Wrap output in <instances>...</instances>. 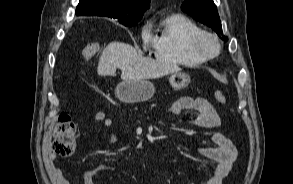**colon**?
<instances>
[{
    "label": "colon",
    "instance_id": "5ec220e1",
    "mask_svg": "<svg viewBox=\"0 0 293 184\" xmlns=\"http://www.w3.org/2000/svg\"><path fill=\"white\" fill-rule=\"evenodd\" d=\"M100 50V44L93 42L84 47L81 51L83 59H90L95 56ZM214 98L220 104H226L227 98L220 90L214 91ZM75 124L71 116L67 113H61L58 116L54 128V140L52 143V155L54 157L65 158L73 154L75 150Z\"/></svg>",
    "mask_w": 293,
    "mask_h": 184
}]
</instances>
